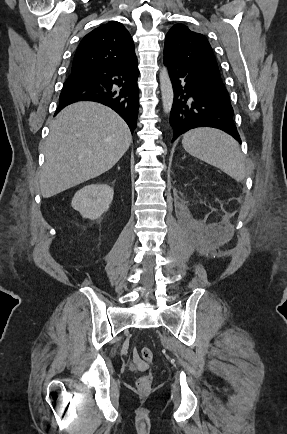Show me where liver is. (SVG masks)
I'll list each match as a JSON object with an SVG mask.
<instances>
[{"label": "liver", "mask_w": 287, "mask_h": 434, "mask_svg": "<svg viewBox=\"0 0 287 434\" xmlns=\"http://www.w3.org/2000/svg\"><path fill=\"white\" fill-rule=\"evenodd\" d=\"M132 143L125 121L95 102L64 108L50 124L39 184L43 198L110 170Z\"/></svg>", "instance_id": "liver-1"}]
</instances>
